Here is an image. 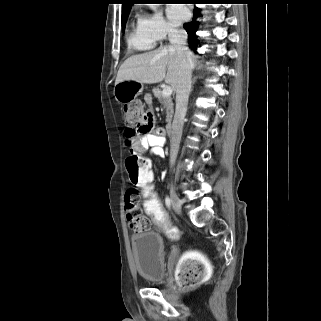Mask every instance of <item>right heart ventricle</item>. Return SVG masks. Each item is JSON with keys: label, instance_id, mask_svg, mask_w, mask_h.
I'll return each instance as SVG.
<instances>
[{"label": "right heart ventricle", "instance_id": "obj_1", "mask_svg": "<svg viewBox=\"0 0 321 321\" xmlns=\"http://www.w3.org/2000/svg\"><path fill=\"white\" fill-rule=\"evenodd\" d=\"M156 41L150 37L137 23L127 37L128 47L135 51H148L155 46Z\"/></svg>", "mask_w": 321, "mask_h": 321}]
</instances>
